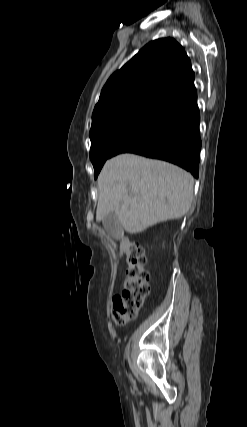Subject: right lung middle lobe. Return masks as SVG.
Wrapping results in <instances>:
<instances>
[{
	"label": "right lung middle lobe",
	"mask_w": 247,
	"mask_h": 427,
	"mask_svg": "<svg viewBox=\"0 0 247 427\" xmlns=\"http://www.w3.org/2000/svg\"><path fill=\"white\" fill-rule=\"evenodd\" d=\"M156 107L135 106L106 113L92 121L90 159L97 178L104 162Z\"/></svg>",
	"instance_id": "right-lung-middle-lobe-1"
}]
</instances>
